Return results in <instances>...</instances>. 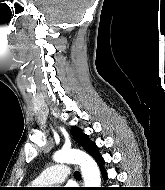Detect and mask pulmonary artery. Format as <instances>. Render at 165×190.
<instances>
[{
	"label": "pulmonary artery",
	"mask_w": 165,
	"mask_h": 190,
	"mask_svg": "<svg viewBox=\"0 0 165 190\" xmlns=\"http://www.w3.org/2000/svg\"><path fill=\"white\" fill-rule=\"evenodd\" d=\"M70 174V167L67 164L58 163L42 171L33 183L36 185L58 184L65 181Z\"/></svg>",
	"instance_id": "1"
}]
</instances>
